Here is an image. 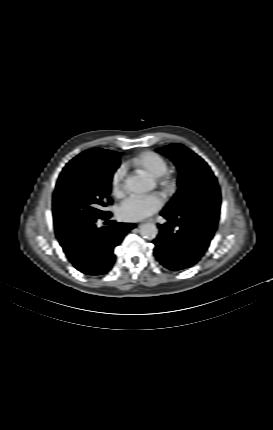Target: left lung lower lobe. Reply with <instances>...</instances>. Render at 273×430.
I'll return each instance as SVG.
<instances>
[{
	"label": "left lung lower lobe",
	"mask_w": 273,
	"mask_h": 430,
	"mask_svg": "<svg viewBox=\"0 0 273 430\" xmlns=\"http://www.w3.org/2000/svg\"><path fill=\"white\" fill-rule=\"evenodd\" d=\"M189 216L177 217L163 210L168 221L159 226V235L153 241L154 254L167 269L179 271L196 264L207 250L217 227L220 211L218 200L203 197ZM188 217V219H186Z\"/></svg>",
	"instance_id": "obj_1"
}]
</instances>
